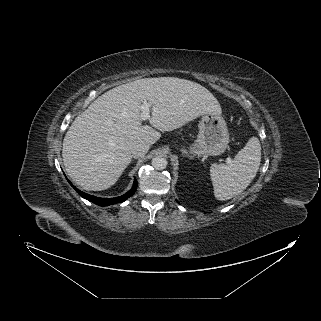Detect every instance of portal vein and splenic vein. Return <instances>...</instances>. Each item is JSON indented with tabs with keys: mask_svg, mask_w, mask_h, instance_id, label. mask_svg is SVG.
Segmentation results:
<instances>
[{
	"mask_svg": "<svg viewBox=\"0 0 321 321\" xmlns=\"http://www.w3.org/2000/svg\"><path fill=\"white\" fill-rule=\"evenodd\" d=\"M151 106L150 103H146L144 102L143 104H141V110H142V113H141V120H146V119H149L150 118V115H149V107ZM227 161L230 162V158H227Z\"/></svg>",
	"mask_w": 321,
	"mask_h": 321,
	"instance_id": "18ae733b",
	"label": "portal vein and splenic vein"
}]
</instances>
